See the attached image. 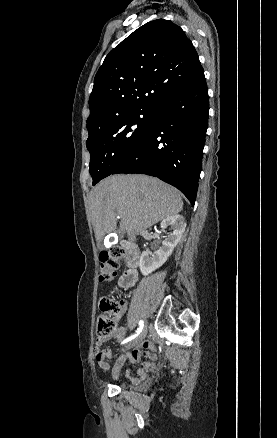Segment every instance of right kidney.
<instances>
[{"instance_id":"ca27d5eb","label":"right kidney","mask_w":277,"mask_h":438,"mask_svg":"<svg viewBox=\"0 0 277 438\" xmlns=\"http://www.w3.org/2000/svg\"><path fill=\"white\" fill-rule=\"evenodd\" d=\"M167 226H170L171 234H168V238L163 240L161 248L156 250L154 254L152 252H142L140 258V272L142 276H149L152 272H155L157 268L163 266L169 256H171L174 248H176L178 242L182 238V234L185 232L186 222L183 216H168L165 220L161 222V228L165 230Z\"/></svg>"}]
</instances>
